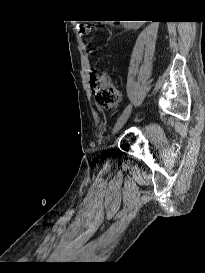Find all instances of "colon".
Returning <instances> with one entry per match:
<instances>
[{"label": "colon", "instance_id": "obj_1", "mask_svg": "<svg viewBox=\"0 0 205 273\" xmlns=\"http://www.w3.org/2000/svg\"><path fill=\"white\" fill-rule=\"evenodd\" d=\"M79 29L82 34H89L92 26L90 24L81 23ZM90 87L94 100L100 107H113L120 99V90L106 72L96 69L92 70L90 73Z\"/></svg>", "mask_w": 205, "mask_h": 273}]
</instances>
